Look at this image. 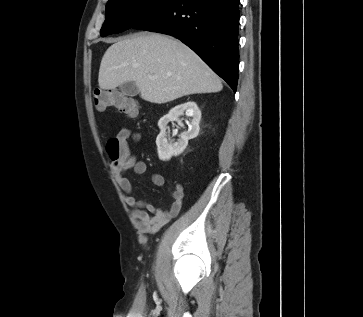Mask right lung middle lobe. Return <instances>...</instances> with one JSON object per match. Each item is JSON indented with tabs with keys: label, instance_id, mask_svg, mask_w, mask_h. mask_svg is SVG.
Listing matches in <instances>:
<instances>
[{
	"label": "right lung middle lobe",
	"instance_id": "1",
	"mask_svg": "<svg viewBox=\"0 0 363 317\" xmlns=\"http://www.w3.org/2000/svg\"><path fill=\"white\" fill-rule=\"evenodd\" d=\"M177 0H109L101 36L133 28L142 21L167 9Z\"/></svg>",
	"mask_w": 363,
	"mask_h": 317
}]
</instances>
